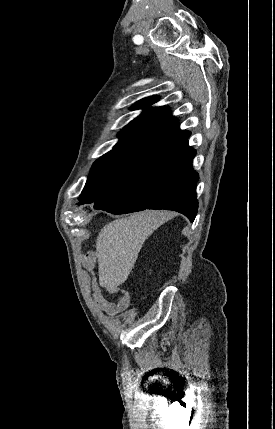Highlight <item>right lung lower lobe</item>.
Masks as SVG:
<instances>
[{"label":"right lung lower lobe","mask_w":275,"mask_h":429,"mask_svg":"<svg viewBox=\"0 0 275 429\" xmlns=\"http://www.w3.org/2000/svg\"><path fill=\"white\" fill-rule=\"evenodd\" d=\"M196 152L187 139L146 161L119 188L94 202L95 209L124 214L145 209H167L194 221L197 214L196 183L192 169Z\"/></svg>","instance_id":"right-lung-lower-lobe-1"}]
</instances>
